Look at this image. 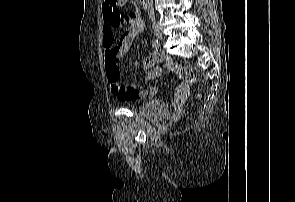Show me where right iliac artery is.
<instances>
[{
	"mask_svg": "<svg viewBox=\"0 0 295 202\" xmlns=\"http://www.w3.org/2000/svg\"><path fill=\"white\" fill-rule=\"evenodd\" d=\"M152 46L155 47V48H157L159 46L158 40H153L152 41Z\"/></svg>",
	"mask_w": 295,
	"mask_h": 202,
	"instance_id": "right-iliac-artery-1",
	"label": "right iliac artery"
}]
</instances>
